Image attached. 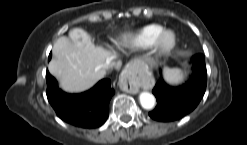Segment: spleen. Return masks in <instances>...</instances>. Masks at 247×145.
<instances>
[{"instance_id": "3e777b00", "label": "spleen", "mask_w": 247, "mask_h": 145, "mask_svg": "<svg viewBox=\"0 0 247 145\" xmlns=\"http://www.w3.org/2000/svg\"><path fill=\"white\" fill-rule=\"evenodd\" d=\"M163 77L170 85H180L187 80V72L179 68H163Z\"/></svg>"}]
</instances>
